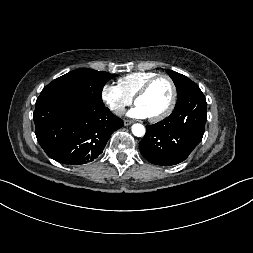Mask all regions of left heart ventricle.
<instances>
[{"label":"left heart ventricle","instance_id":"obj_1","mask_svg":"<svg viewBox=\"0 0 253 253\" xmlns=\"http://www.w3.org/2000/svg\"><path fill=\"white\" fill-rule=\"evenodd\" d=\"M171 100V87L164 78L157 80L148 92L139 98L136 105H139L146 112L148 117H154L162 113Z\"/></svg>","mask_w":253,"mask_h":253}]
</instances>
